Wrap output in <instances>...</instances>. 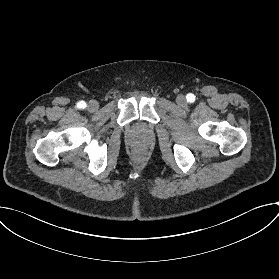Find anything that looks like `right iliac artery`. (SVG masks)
<instances>
[{
  "label": "right iliac artery",
  "instance_id": "82829eb1",
  "mask_svg": "<svg viewBox=\"0 0 279 279\" xmlns=\"http://www.w3.org/2000/svg\"><path fill=\"white\" fill-rule=\"evenodd\" d=\"M85 107H86V103H85L84 101L78 102L77 108H82V109H84Z\"/></svg>",
  "mask_w": 279,
  "mask_h": 279
}]
</instances>
